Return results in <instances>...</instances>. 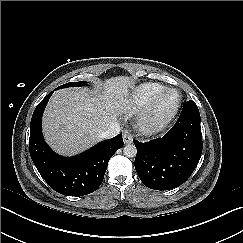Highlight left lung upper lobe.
I'll use <instances>...</instances> for the list:
<instances>
[{
	"instance_id": "obj_1",
	"label": "left lung upper lobe",
	"mask_w": 243,
	"mask_h": 243,
	"mask_svg": "<svg viewBox=\"0 0 243 243\" xmlns=\"http://www.w3.org/2000/svg\"><path fill=\"white\" fill-rule=\"evenodd\" d=\"M183 106H196L197 107V105L195 104V102L194 101H187V102H184V105Z\"/></svg>"
}]
</instances>
